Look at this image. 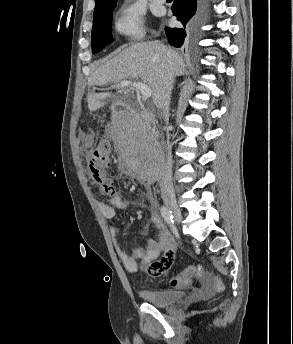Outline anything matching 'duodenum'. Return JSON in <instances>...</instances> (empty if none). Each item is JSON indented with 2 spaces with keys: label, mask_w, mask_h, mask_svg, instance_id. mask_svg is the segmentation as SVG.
Returning <instances> with one entry per match:
<instances>
[{
  "label": "duodenum",
  "mask_w": 293,
  "mask_h": 344,
  "mask_svg": "<svg viewBox=\"0 0 293 344\" xmlns=\"http://www.w3.org/2000/svg\"><path fill=\"white\" fill-rule=\"evenodd\" d=\"M123 114H125L124 107L117 105L114 109V115L119 116V115H123ZM126 119L131 121V122H135V121H137V119H140L149 125L153 124V119H152L151 115L145 111L139 112L136 116L128 115Z\"/></svg>",
  "instance_id": "1"
}]
</instances>
